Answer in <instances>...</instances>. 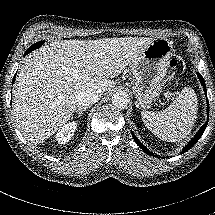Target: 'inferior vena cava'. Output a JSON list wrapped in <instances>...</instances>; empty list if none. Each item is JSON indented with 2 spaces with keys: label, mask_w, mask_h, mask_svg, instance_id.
<instances>
[{
  "label": "inferior vena cava",
  "mask_w": 215,
  "mask_h": 215,
  "mask_svg": "<svg viewBox=\"0 0 215 215\" xmlns=\"http://www.w3.org/2000/svg\"><path fill=\"white\" fill-rule=\"evenodd\" d=\"M103 93L100 92H80L76 96V104L80 108H88L92 104L98 102L100 98L102 97Z\"/></svg>",
  "instance_id": "1"
}]
</instances>
